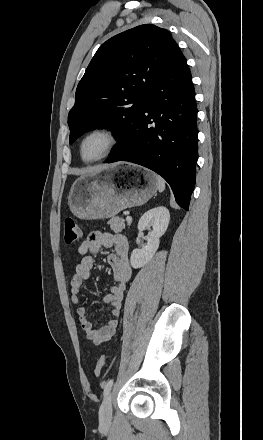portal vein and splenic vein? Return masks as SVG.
<instances>
[{"label":"portal vein and splenic vein","mask_w":263,"mask_h":440,"mask_svg":"<svg viewBox=\"0 0 263 440\" xmlns=\"http://www.w3.org/2000/svg\"><path fill=\"white\" fill-rule=\"evenodd\" d=\"M126 221H127V222H131V221H132V217L128 215V216L126 217Z\"/></svg>","instance_id":"1"}]
</instances>
